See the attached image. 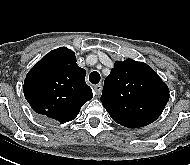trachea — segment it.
I'll list each match as a JSON object with an SVG mask.
<instances>
[{
  "instance_id": "3493384b",
  "label": "trachea",
  "mask_w": 190,
  "mask_h": 165,
  "mask_svg": "<svg viewBox=\"0 0 190 165\" xmlns=\"http://www.w3.org/2000/svg\"><path fill=\"white\" fill-rule=\"evenodd\" d=\"M101 77H100V74L97 72V71H93L90 73L89 75V81L92 83V84H97L99 83Z\"/></svg>"
}]
</instances>
